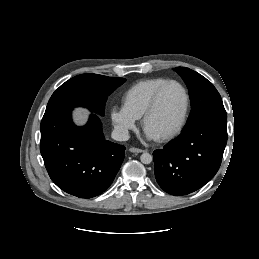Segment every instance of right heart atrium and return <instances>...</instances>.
<instances>
[{
    "label": "right heart atrium",
    "mask_w": 259,
    "mask_h": 259,
    "mask_svg": "<svg viewBox=\"0 0 259 259\" xmlns=\"http://www.w3.org/2000/svg\"><path fill=\"white\" fill-rule=\"evenodd\" d=\"M110 120L120 138H126L131 130L137 127V120L123 106H113L110 110Z\"/></svg>",
    "instance_id": "1"
}]
</instances>
